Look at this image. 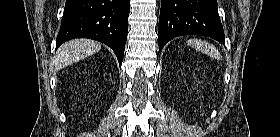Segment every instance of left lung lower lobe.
<instances>
[{"label":"left lung lower lobe","instance_id":"left-lung-lower-lobe-1","mask_svg":"<svg viewBox=\"0 0 280 137\" xmlns=\"http://www.w3.org/2000/svg\"><path fill=\"white\" fill-rule=\"evenodd\" d=\"M159 50L181 35H203L225 44L217 0H161Z\"/></svg>","mask_w":280,"mask_h":137}]
</instances>
